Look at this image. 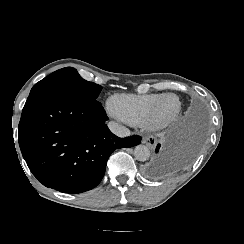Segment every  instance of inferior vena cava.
Here are the masks:
<instances>
[{
	"label": "inferior vena cava",
	"mask_w": 244,
	"mask_h": 244,
	"mask_svg": "<svg viewBox=\"0 0 244 244\" xmlns=\"http://www.w3.org/2000/svg\"><path fill=\"white\" fill-rule=\"evenodd\" d=\"M108 127L112 133L119 137H129L130 131L126 127L117 124L116 122H109Z\"/></svg>",
	"instance_id": "obj_1"
}]
</instances>
